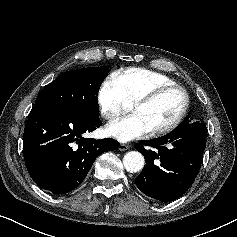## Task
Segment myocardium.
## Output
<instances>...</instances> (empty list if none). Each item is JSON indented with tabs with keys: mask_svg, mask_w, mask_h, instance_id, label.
I'll return each mask as SVG.
<instances>
[{
	"mask_svg": "<svg viewBox=\"0 0 237 237\" xmlns=\"http://www.w3.org/2000/svg\"><path fill=\"white\" fill-rule=\"evenodd\" d=\"M172 90H178L182 93L184 99L182 108L171 123L158 129L151 130L149 134L152 137H158L170 133L171 131L176 129L178 125L181 123V121L183 120L188 111L190 104V97L187 90L183 86L178 84L162 85L154 88L153 90L139 97L136 101L133 102V106L145 105L153 102L164 93Z\"/></svg>",
	"mask_w": 237,
	"mask_h": 237,
	"instance_id": "f54148a6",
	"label": "myocardium"
}]
</instances>
